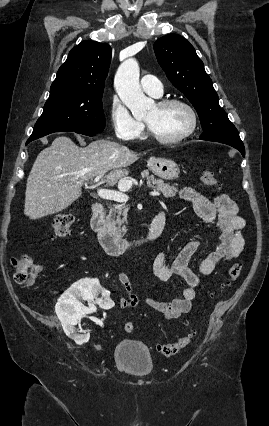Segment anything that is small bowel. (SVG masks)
Masks as SVG:
<instances>
[{
  "instance_id": "small-bowel-1",
  "label": "small bowel",
  "mask_w": 269,
  "mask_h": 426,
  "mask_svg": "<svg viewBox=\"0 0 269 426\" xmlns=\"http://www.w3.org/2000/svg\"><path fill=\"white\" fill-rule=\"evenodd\" d=\"M181 199L192 204L196 215L204 224V231L215 229L218 242L215 249L202 260L198 273L189 267L190 260L196 251L199 241L192 239L179 251L171 265L167 263L166 253H159L153 262V270L161 281H168L173 276L182 277L187 287L181 297L167 301H157L150 297H140L133 291L132 282L124 271L118 272V280L125 290L126 296L118 300L121 309H134L140 301L166 319L177 318L190 311L196 292L200 286V275H209L222 262H229L239 257L245 248L242 234L246 227L245 220L238 214L235 202L226 194H218L213 200L208 199L191 187L180 190Z\"/></svg>"
}]
</instances>
